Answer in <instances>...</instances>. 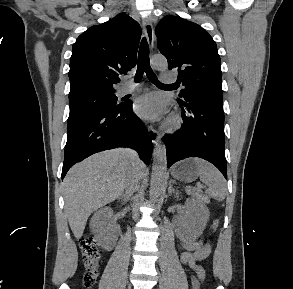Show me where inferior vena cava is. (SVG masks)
I'll return each mask as SVG.
<instances>
[{"label":"inferior vena cava","instance_id":"obj_1","mask_svg":"<svg viewBox=\"0 0 293 289\" xmlns=\"http://www.w3.org/2000/svg\"><path fill=\"white\" fill-rule=\"evenodd\" d=\"M128 154L134 159L136 164H139L140 160L137 156V153L132 150H127ZM140 174L138 170L133 169L130 171L127 181H126V186H125V194L131 196L135 191L138 190L139 188V180H140Z\"/></svg>","mask_w":293,"mask_h":289}]
</instances>
